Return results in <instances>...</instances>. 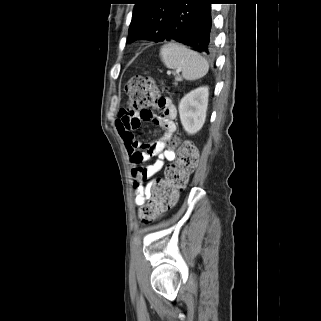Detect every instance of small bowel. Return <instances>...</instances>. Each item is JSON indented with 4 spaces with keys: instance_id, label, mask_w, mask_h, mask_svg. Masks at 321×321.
<instances>
[{
    "instance_id": "1",
    "label": "small bowel",
    "mask_w": 321,
    "mask_h": 321,
    "mask_svg": "<svg viewBox=\"0 0 321 321\" xmlns=\"http://www.w3.org/2000/svg\"><path fill=\"white\" fill-rule=\"evenodd\" d=\"M153 107L156 113L147 108L133 112L122 109L115 123L132 165L134 201L137 206L144 205L151 197L153 186L159 180L152 178L163 168L165 161H173L176 158L175 151L167 147V142L176 130L177 110L171 99L167 97H160ZM143 121H153L163 129V135L146 144L138 141L133 131L138 129ZM151 157H156V161L151 165L143 166L142 164ZM146 180L149 181L144 183Z\"/></svg>"
}]
</instances>
